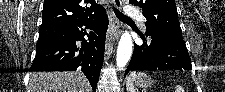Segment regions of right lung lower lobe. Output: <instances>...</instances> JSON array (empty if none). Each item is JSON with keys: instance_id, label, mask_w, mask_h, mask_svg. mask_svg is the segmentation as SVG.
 <instances>
[{"instance_id": "obj_1", "label": "right lung lower lobe", "mask_w": 225, "mask_h": 92, "mask_svg": "<svg viewBox=\"0 0 225 92\" xmlns=\"http://www.w3.org/2000/svg\"><path fill=\"white\" fill-rule=\"evenodd\" d=\"M90 29L87 34L80 27ZM108 16L103 9L96 17L68 28L64 36L38 41L30 71H82L96 91L103 64ZM88 36V40L84 39ZM82 41V47L76 41Z\"/></svg>"}]
</instances>
